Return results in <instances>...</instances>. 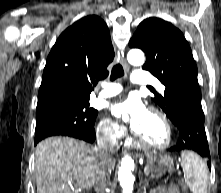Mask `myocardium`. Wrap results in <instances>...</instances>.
<instances>
[{
  "mask_svg": "<svg viewBox=\"0 0 221 193\" xmlns=\"http://www.w3.org/2000/svg\"><path fill=\"white\" fill-rule=\"evenodd\" d=\"M150 112L156 114L164 123L165 128H166V132H167V139L163 144H154L151 143L150 141H148L144 135L140 134L139 132H137L135 130V135L139 138V140L146 146L153 148V149H158V150H164L167 149L173 140V129H172V125L168 119V117L165 115L164 112H162L160 109H158L157 107H149L148 109Z\"/></svg>",
  "mask_w": 221,
  "mask_h": 193,
  "instance_id": "1",
  "label": "myocardium"
}]
</instances>
